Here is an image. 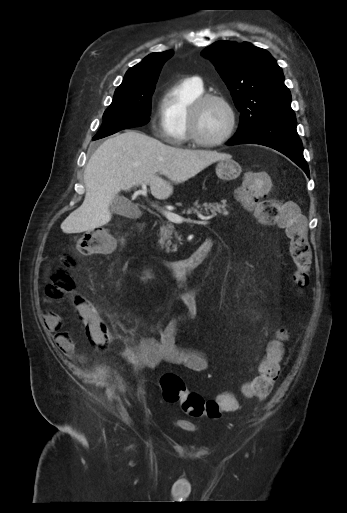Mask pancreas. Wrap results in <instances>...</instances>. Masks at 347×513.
<instances>
[{
    "label": "pancreas",
    "mask_w": 347,
    "mask_h": 513,
    "mask_svg": "<svg viewBox=\"0 0 347 513\" xmlns=\"http://www.w3.org/2000/svg\"><path fill=\"white\" fill-rule=\"evenodd\" d=\"M203 208H201L200 205L198 204H195V207H191L189 208L186 212L187 214H192V213H205L207 215H209V212L212 213L213 216H216L217 213L223 215V216H228L229 212L227 211L226 207H227V204L226 202H222V203H217V202H213V203H204L203 204ZM175 235L176 238H178L179 240L181 239L180 236H178V233L177 231L175 230V227L172 223L170 222H164L162 224V226L160 227V240H159V243L161 244V246H165L167 248V252L170 251V246L172 245V242H171V239H172V235ZM173 250L172 251H176V245H173Z\"/></svg>",
    "instance_id": "obj_1"
}]
</instances>
